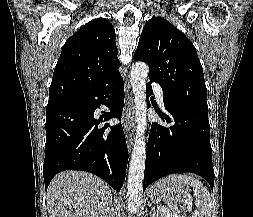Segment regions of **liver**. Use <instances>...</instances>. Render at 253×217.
Here are the masks:
<instances>
[{"label":"liver","instance_id":"obj_1","mask_svg":"<svg viewBox=\"0 0 253 217\" xmlns=\"http://www.w3.org/2000/svg\"><path fill=\"white\" fill-rule=\"evenodd\" d=\"M49 217H109L111 188L99 177L83 171H64L47 191Z\"/></svg>","mask_w":253,"mask_h":217}]
</instances>
